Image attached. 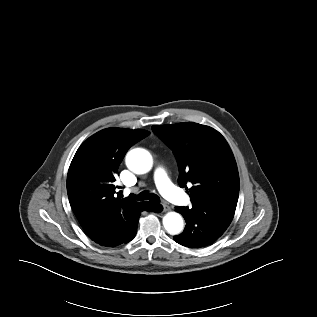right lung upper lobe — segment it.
Instances as JSON below:
<instances>
[{"instance_id": "1", "label": "right lung upper lobe", "mask_w": 317, "mask_h": 317, "mask_svg": "<svg viewBox=\"0 0 317 317\" xmlns=\"http://www.w3.org/2000/svg\"><path fill=\"white\" fill-rule=\"evenodd\" d=\"M145 130L108 128L89 137L77 150L68 170L69 202L82 228L97 227L119 234L142 203L116 193L115 176L127 150L147 137ZM144 203V202H143Z\"/></svg>"}]
</instances>
